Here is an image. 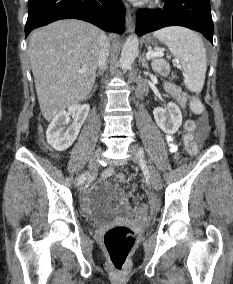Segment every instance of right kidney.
<instances>
[{
	"label": "right kidney",
	"mask_w": 233,
	"mask_h": 284,
	"mask_svg": "<svg viewBox=\"0 0 233 284\" xmlns=\"http://www.w3.org/2000/svg\"><path fill=\"white\" fill-rule=\"evenodd\" d=\"M89 111L90 106L88 104H74L68 108V111L58 113L51 121L46 131L48 144L56 151L68 149L76 140ZM71 115L74 121L72 125L65 130V125L69 123Z\"/></svg>",
	"instance_id": "obj_1"
}]
</instances>
